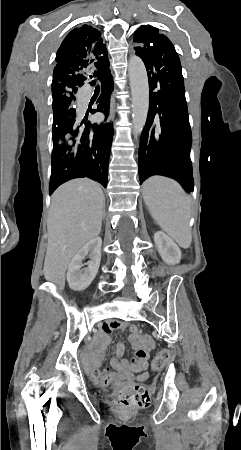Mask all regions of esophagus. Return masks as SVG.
<instances>
[{"instance_id": "1", "label": "esophagus", "mask_w": 241, "mask_h": 450, "mask_svg": "<svg viewBox=\"0 0 241 450\" xmlns=\"http://www.w3.org/2000/svg\"><path fill=\"white\" fill-rule=\"evenodd\" d=\"M114 107H115V100L114 98L111 101V107H110V115H109V120H113L114 119Z\"/></svg>"}]
</instances>
